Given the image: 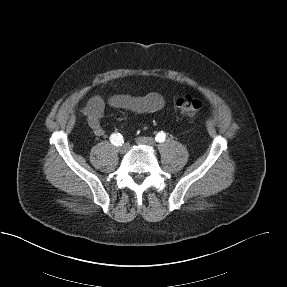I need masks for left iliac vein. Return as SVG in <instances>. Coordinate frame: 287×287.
<instances>
[{"mask_svg":"<svg viewBox=\"0 0 287 287\" xmlns=\"http://www.w3.org/2000/svg\"><path fill=\"white\" fill-rule=\"evenodd\" d=\"M136 142L139 145H146L149 147H153L155 145V140L151 137H138Z\"/></svg>","mask_w":287,"mask_h":287,"instance_id":"left-iliac-vein-1","label":"left iliac vein"}]
</instances>
